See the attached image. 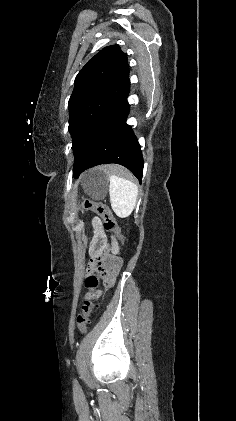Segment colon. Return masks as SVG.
Instances as JSON below:
<instances>
[{
  "label": "colon",
  "instance_id": "colon-1",
  "mask_svg": "<svg viewBox=\"0 0 236 421\" xmlns=\"http://www.w3.org/2000/svg\"><path fill=\"white\" fill-rule=\"evenodd\" d=\"M80 210H91L99 215L103 219L105 230L111 231L114 234V243L118 245L122 242L123 236L120 227L118 226L116 219L114 218L110 209L105 204L93 201H85L80 205ZM103 265L104 263L101 255L91 258L89 262L85 286L90 293H94V291L100 285V279L104 271ZM96 308L97 305L91 298L84 299L82 310L76 317L78 329L82 334L86 333L87 326L90 322V315Z\"/></svg>",
  "mask_w": 236,
  "mask_h": 421
}]
</instances>
